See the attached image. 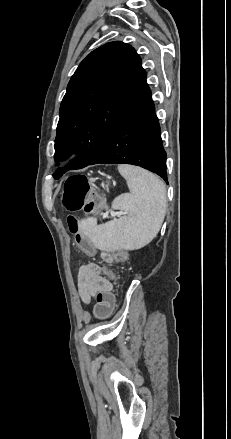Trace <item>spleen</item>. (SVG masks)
<instances>
[{"label": "spleen", "mask_w": 231, "mask_h": 439, "mask_svg": "<svg viewBox=\"0 0 231 439\" xmlns=\"http://www.w3.org/2000/svg\"><path fill=\"white\" fill-rule=\"evenodd\" d=\"M118 171L126 179L130 193L116 197L112 208L124 215L101 225L95 218L83 219L80 228L99 249L134 250L148 244L161 228L167 205L165 184L139 167L119 165Z\"/></svg>", "instance_id": "3e777b00"}]
</instances>
